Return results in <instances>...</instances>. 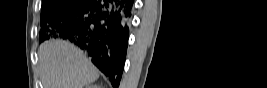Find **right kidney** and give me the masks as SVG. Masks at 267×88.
Wrapping results in <instances>:
<instances>
[{"mask_svg":"<svg viewBox=\"0 0 267 88\" xmlns=\"http://www.w3.org/2000/svg\"><path fill=\"white\" fill-rule=\"evenodd\" d=\"M86 88H101V87L99 85L92 84V85L86 86Z\"/></svg>","mask_w":267,"mask_h":88,"instance_id":"1","label":"right kidney"}]
</instances>
